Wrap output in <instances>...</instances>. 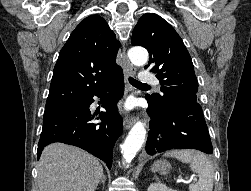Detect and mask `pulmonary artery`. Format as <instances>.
Listing matches in <instances>:
<instances>
[{
	"label": "pulmonary artery",
	"instance_id": "1",
	"mask_svg": "<svg viewBox=\"0 0 251 191\" xmlns=\"http://www.w3.org/2000/svg\"><path fill=\"white\" fill-rule=\"evenodd\" d=\"M138 76L140 82H150V86H155V84L159 86L156 73H148V68H143V73H139Z\"/></svg>",
	"mask_w": 251,
	"mask_h": 191
}]
</instances>
